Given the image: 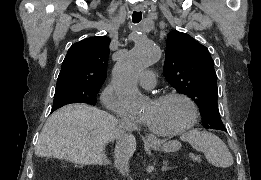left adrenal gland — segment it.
<instances>
[{"label":"left adrenal gland","mask_w":261,"mask_h":180,"mask_svg":"<svg viewBox=\"0 0 261 180\" xmlns=\"http://www.w3.org/2000/svg\"><path fill=\"white\" fill-rule=\"evenodd\" d=\"M161 170L162 172H167V170H170V168H168V160H163V166Z\"/></svg>","instance_id":"a2214340"}]
</instances>
